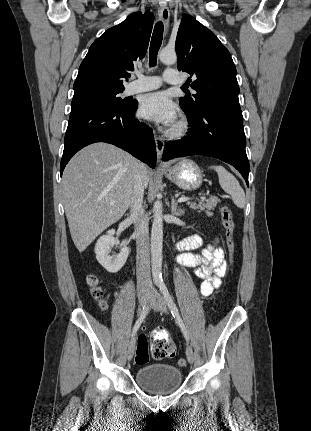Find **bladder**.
<instances>
[{
    "label": "bladder",
    "instance_id": "bladder-1",
    "mask_svg": "<svg viewBox=\"0 0 311 431\" xmlns=\"http://www.w3.org/2000/svg\"><path fill=\"white\" fill-rule=\"evenodd\" d=\"M182 380L181 369L172 364H146L136 372L137 384L145 391L155 395L175 392L182 385Z\"/></svg>",
    "mask_w": 311,
    "mask_h": 431
}]
</instances>
